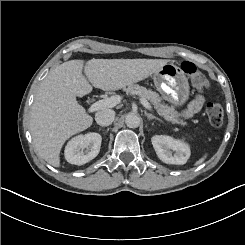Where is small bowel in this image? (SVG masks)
<instances>
[{
  "label": "small bowel",
  "instance_id": "c3829d8e",
  "mask_svg": "<svg viewBox=\"0 0 245 245\" xmlns=\"http://www.w3.org/2000/svg\"><path fill=\"white\" fill-rule=\"evenodd\" d=\"M204 105V97L200 94L196 95L195 98L189 103L184 115L186 117H192L198 113Z\"/></svg>",
  "mask_w": 245,
  "mask_h": 245
}]
</instances>
